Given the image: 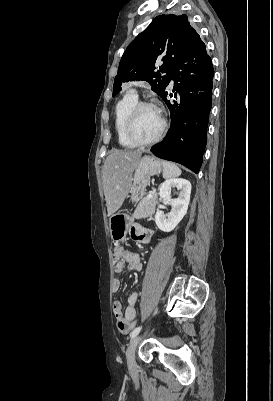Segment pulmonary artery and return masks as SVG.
Here are the masks:
<instances>
[{
    "label": "pulmonary artery",
    "mask_w": 273,
    "mask_h": 401,
    "mask_svg": "<svg viewBox=\"0 0 273 401\" xmlns=\"http://www.w3.org/2000/svg\"><path fill=\"white\" fill-rule=\"evenodd\" d=\"M133 94H137L136 91H132Z\"/></svg>",
    "instance_id": "1"
}]
</instances>
